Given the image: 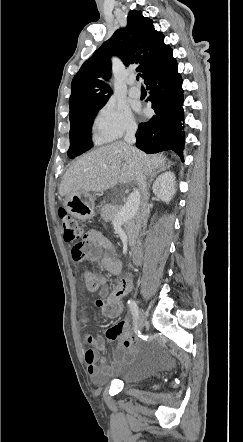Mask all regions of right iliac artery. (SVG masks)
<instances>
[{
    "label": "right iliac artery",
    "mask_w": 243,
    "mask_h": 442,
    "mask_svg": "<svg viewBox=\"0 0 243 442\" xmlns=\"http://www.w3.org/2000/svg\"><path fill=\"white\" fill-rule=\"evenodd\" d=\"M128 307L129 310L133 316L134 321H137L138 319V307L137 304L135 303V301H133L132 299L128 300Z\"/></svg>",
    "instance_id": "1"
}]
</instances>
